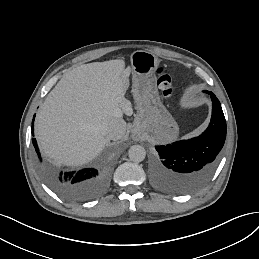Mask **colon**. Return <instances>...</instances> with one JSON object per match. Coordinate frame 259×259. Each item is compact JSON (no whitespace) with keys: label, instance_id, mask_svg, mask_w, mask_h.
<instances>
[{"label":"colon","instance_id":"1","mask_svg":"<svg viewBox=\"0 0 259 259\" xmlns=\"http://www.w3.org/2000/svg\"><path fill=\"white\" fill-rule=\"evenodd\" d=\"M157 84L162 94L169 98L176 93V78L163 70L158 71Z\"/></svg>","mask_w":259,"mask_h":259}]
</instances>
